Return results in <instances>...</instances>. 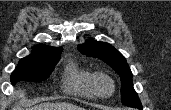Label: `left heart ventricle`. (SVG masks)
Segmentation results:
<instances>
[{
  "label": "left heart ventricle",
  "mask_w": 171,
  "mask_h": 110,
  "mask_svg": "<svg viewBox=\"0 0 171 110\" xmlns=\"http://www.w3.org/2000/svg\"><path fill=\"white\" fill-rule=\"evenodd\" d=\"M99 89L104 94H109L111 92V84L106 79H101L99 82Z\"/></svg>",
  "instance_id": "left-heart-ventricle-1"
}]
</instances>
